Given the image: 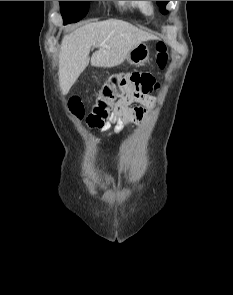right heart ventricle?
Listing matches in <instances>:
<instances>
[{"instance_id":"1","label":"right heart ventricle","mask_w":233,"mask_h":295,"mask_svg":"<svg viewBox=\"0 0 233 295\" xmlns=\"http://www.w3.org/2000/svg\"><path fill=\"white\" fill-rule=\"evenodd\" d=\"M118 8L136 14H145L143 1H115Z\"/></svg>"}]
</instances>
